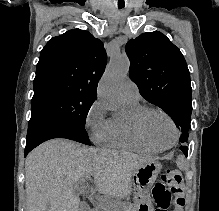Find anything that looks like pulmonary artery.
<instances>
[{
    "instance_id": "1",
    "label": "pulmonary artery",
    "mask_w": 219,
    "mask_h": 211,
    "mask_svg": "<svg viewBox=\"0 0 219 211\" xmlns=\"http://www.w3.org/2000/svg\"><path fill=\"white\" fill-rule=\"evenodd\" d=\"M122 102H139L140 92L138 86L129 78H127L120 92Z\"/></svg>"
}]
</instances>
